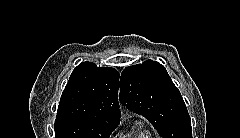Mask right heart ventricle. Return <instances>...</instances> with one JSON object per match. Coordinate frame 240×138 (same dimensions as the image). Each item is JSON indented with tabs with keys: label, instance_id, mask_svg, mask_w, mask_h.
<instances>
[{
	"label": "right heart ventricle",
	"instance_id": "right-heart-ventricle-1",
	"mask_svg": "<svg viewBox=\"0 0 240 138\" xmlns=\"http://www.w3.org/2000/svg\"><path fill=\"white\" fill-rule=\"evenodd\" d=\"M122 138H150V135L145 130L135 129L131 133Z\"/></svg>",
	"mask_w": 240,
	"mask_h": 138
}]
</instances>
